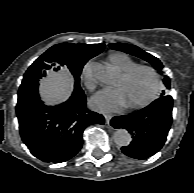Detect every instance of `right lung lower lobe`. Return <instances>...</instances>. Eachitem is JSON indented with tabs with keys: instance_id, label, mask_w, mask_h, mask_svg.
<instances>
[{
	"instance_id": "right-lung-lower-lobe-1",
	"label": "right lung lower lobe",
	"mask_w": 194,
	"mask_h": 193,
	"mask_svg": "<svg viewBox=\"0 0 194 193\" xmlns=\"http://www.w3.org/2000/svg\"><path fill=\"white\" fill-rule=\"evenodd\" d=\"M17 117L23 142L43 162L60 163L82 147V134L91 124H104L101 114L86 108L84 92L73 93L68 101L46 106L37 98L17 103Z\"/></svg>"
}]
</instances>
